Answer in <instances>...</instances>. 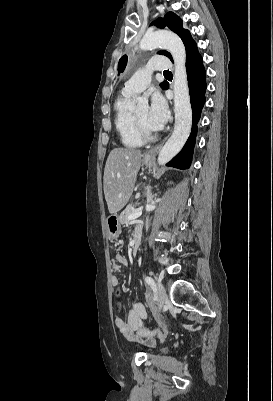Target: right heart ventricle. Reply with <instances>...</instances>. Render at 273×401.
I'll list each match as a JSON object with an SVG mask.
<instances>
[{"instance_id":"e07e8e85","label":"right heart ventricle","mask_w":273,"mask_h":401,"mask_svg":"<svg viewBox=\"0 0 273 401\" xmlns=\"http://www.w3.org/2000/svg\"><path fill=\"white\" fill-rule=\"evenodd\" d=\"M132 94L123 93L114 102V124L121 142L130 148L141 147L143 139L140 136L134 120L133 112L129 109Z\"/></svg>"}]
</instances>
